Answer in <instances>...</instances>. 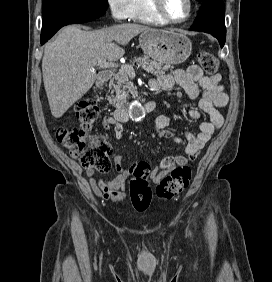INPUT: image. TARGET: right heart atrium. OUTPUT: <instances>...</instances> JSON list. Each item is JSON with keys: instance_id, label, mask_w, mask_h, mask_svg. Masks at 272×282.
I'll return each mask as SVG.
<instances>
[{"instance_id": "d8ad5b80", "label": "right heart atrium", "mask_w": 272, "mask_h": 282, "mask_svg": "<svg viewBox=\"0 0 272 282\" xmlns=\"http://www.w3.org/2000/svg\"><path fill=\"white\" fill-rule=\"evenodd\" d=\"M111 17L117 21L130 19L136 11L135 0H106Z\"/></svg>"}]
</instances>
